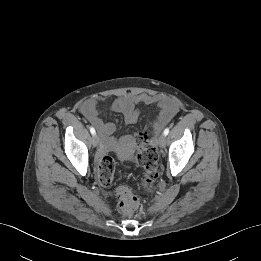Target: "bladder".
<instances>
[{
    "label": "bladder",
    "instance_id": "1",
    "mask_svg": "<svg viewBox=\"0 0 261 261\" xmlns=\"http://www.w3.org/2000/svg\"><path fill=\"white\" fill-rule=\"evenodd\" d=\"M119 153H120L119 154L120 159L126 160L133 154V149H129V150L120 149Z\"/></svg>",
    "mask_w": 261,
    "mask_h": 261
}]
</instances>
